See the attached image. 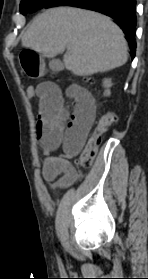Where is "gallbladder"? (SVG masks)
Wrapping results in <instances>:
<instances>
[{"mask_svg":"<svg viewBox=\"0 0 148 279\" xmlns=\"http://www.w3.org/2000/svg\"><path fill=\"white\" fill-rule=\"evenodd\" d=\"M49 68L53 71H61L63 69V64L58 59H52L49 62Z\"/></svg>","mask_w":148,"mask_h":279,"instance_id":"obj_1","label":"gallbladder"}]
</instances>
